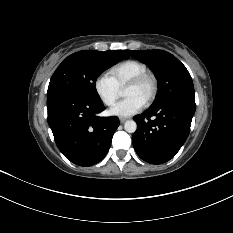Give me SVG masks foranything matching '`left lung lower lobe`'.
Returning a JSON list of instances; mask_svg holds the SVG:
<instances>
[{
  "label": "left lung lower lobe",
  "instance_id": "left-lung-lower-lobe-1",
  "mask_svg": "<svg viewBox=\"0 0 233 233\" xmlns=\"http://www.w3.org/2000/svg\"><path fill=\"white\" fill-rule=\"evenodd\" d=\"M195 108V103L176 100L151 106L135 116L138 128L132 142L138 156L151 164L172 159L189 135Z\"/></svg>",
  "mask_w": 233,
  "mask_h": 233
}]
</instances>
